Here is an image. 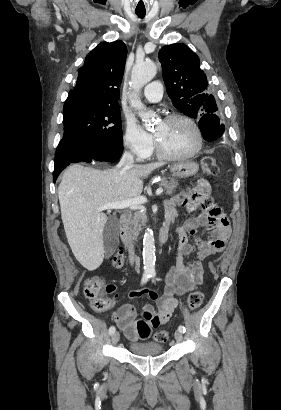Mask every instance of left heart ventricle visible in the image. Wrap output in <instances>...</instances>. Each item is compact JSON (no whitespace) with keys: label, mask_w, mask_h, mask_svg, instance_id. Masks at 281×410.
Instances as JSON below:
<instances>
[{"label":"left heart ventricle","mask_w":281,"mask_h":410,"mask_svg":"<svg viewBox=\"0 0 281 410\" xmlns=\"http://www.w3.org/2000/svg\"><path fill=\"white\" fill-rule=\"evenodd\" d=\"M154 135L161 146L172 154H185L196 147V134L191 125L183 120L159 121Z\"/></svg>","instance_id":"b2bd125f"}]
</instances>
